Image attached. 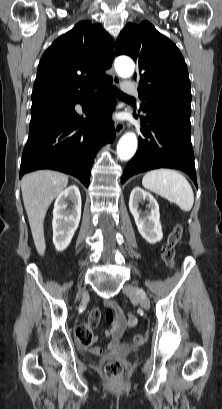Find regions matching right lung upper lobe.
Masks as SVG:
<instances>
[{
  "instance_id": "obj_1",
  "label": "right lung upper lobe",
  "mask_w": 222,
  "mask_h": 409,
  "mask_svg": "<svg viewBox=\"0 0 222 409\" xmlns=\"http://www.w3.org/2000/svg\"><path fill=\"white\" fill-rule=\"evenodd\" d=\"M114 41L101 24L81 21L43 54L33 86L32 107H49L85 98L112 78ZM31 107V108H32Z\"/></svg>"
}]
</instances>
